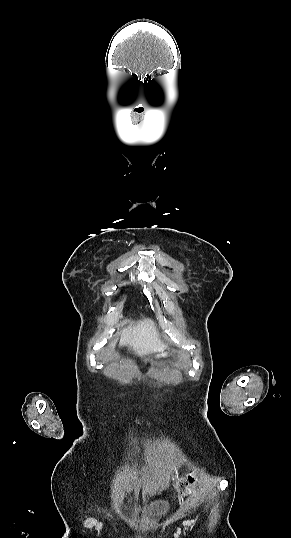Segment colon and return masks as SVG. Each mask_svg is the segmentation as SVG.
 <instances>
[{
  "label": "colon",
  "mask_w": 291,
  "mask_h": 538,
  "mask_svg": "<svg viewBox=\"0 0 291 538\" xmlns=\"http://www.w3.org/2000/svg\"><path fill=\"white\" fill-rule=\"evenodd\" d=\"M195 476H189L187 478L176 479L174 484L176 489L183 495L189 493L191 486L196 482Z\"/></svg>",
  "instance_id": "5ec220e1"
}]
</instances>
